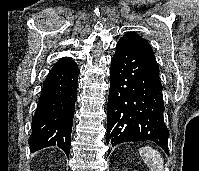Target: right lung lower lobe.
Wrapping results in <instances>:
<instances>
[{"label":"right lung lower lobe","mask_w":199,"mask_h":171,"mask_svg":"<svg viewBox=\"0 0 199 171\" xmlns=\"http://www.w3.org/2000/svg\"><path fill=\"white\" fill-rule=\"evenodd\" d=\"M78 74L79 68L72 58L63 57L47 75L32 117L28 140L32 152L57 145L69 155Z\"/></svg>","instance_id":"right-lung-lower-lobe-1"}]
</instances>
